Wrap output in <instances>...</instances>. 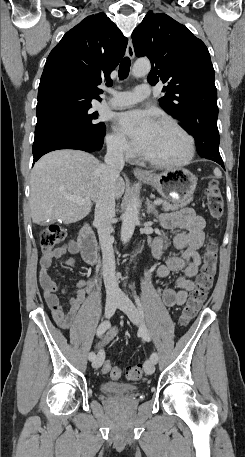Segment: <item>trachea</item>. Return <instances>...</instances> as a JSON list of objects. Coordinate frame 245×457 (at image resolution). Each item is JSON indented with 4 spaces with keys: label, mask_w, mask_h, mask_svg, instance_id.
<instances>
[{
    "label": "trachea",
    "mask_w": 245,
    "mask_h": 457,
    "mask_svg": "<svg viewBox=\"0 0 245 457\" xmlns=\"http://www.w3.org/2000/svg\"><path fill=\"white\" fill-rule=\"evenodd\" d=\"M130 70V58L125 57L123 60H121L120 66H119V78L120 80H124V78L128 77Z\"/></svg>",
    "instance_id": "obj_1"
}]
</instances>
